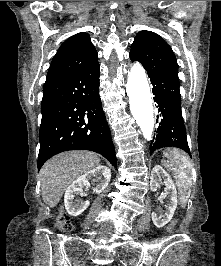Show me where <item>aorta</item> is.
<instances>
[{
    "instance_id": "aorta-1",
    "label": "aorta",
    "mask_w": 221,
    "mask_h": 266,
    "mask_svg": "<svg viewBox=\"0 0 221 266\" xmlns=\"http://www.w3.org/2000/svg\"><path fill=\"white\" fill-rule=\"evenodd\" d=\"M126 88L131 113L144 138L151 140L154 129V109L146 73L139 63L134 64L128 72Z\"/></svg>"
}]
</instances>
